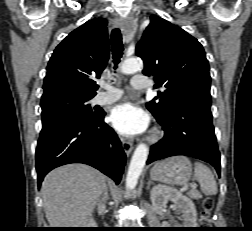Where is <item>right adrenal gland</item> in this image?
Instances as JSON below:
<instances>
[{"mask_svg": "<svg viewBox=\"0 0 252 231\" xmlns=\"http://www.w3.org/2000/svg\"><path fill=\"white\" fill-rule=\"evenodd\" d=\"M109 198V195H108V188H107V186H105V188H104V192H103V196H102V198H101V200H107Z\"/></svg>", "mask_w": 252, "mask_h": 231, "instance_id": "obj_1", "label": "right adrenal gland"}]
</instances>
